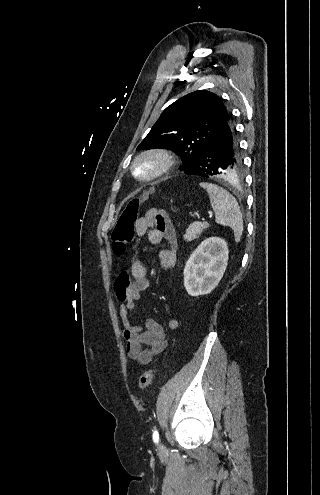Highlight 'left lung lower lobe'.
Wrapping results in <instances>:
<instances>
[{"instance_id": "1", "label": "left lung lower lobe", "mask_w": 320, "mask_h": 495, "mask_svg": "<svg viewBox=\"0 0 320 495\" xmlns=\"http://www.w3.org/2000/svg\"><path fill=\"white\" fill-rule=\"evenodd\" d=\"M241 162L238 142L229 118L196 156L194 163L183 172L209 178L220 177L229 171L231 177L238 173Z\"/></svg>"}]
</instances>
